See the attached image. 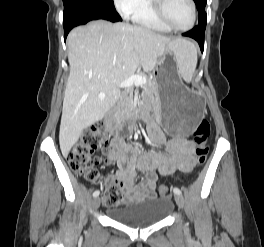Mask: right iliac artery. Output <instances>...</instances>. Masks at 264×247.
<instances>
[{"mask_svg":"<svg viewBox=\"0 0 264 247\" xmlns=\"http://www.w3.org/2000/svg\"><path fill=\"white\" fill-rule=\"evenodd\" d=\"M99 194H100V192H99L98 190H96V191L93 193V196H94V197H97V196H99Z\"/></svg>","mask_w":264,"mask_h":247,"instance_id":"right-iliac-artery-1","label":"right iliac artery"}]
</instances>
